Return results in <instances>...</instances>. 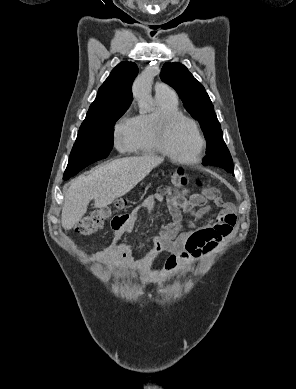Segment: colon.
Wrapping results in <instances>:
<instances>
[{
  "label": "colon",
  "instance_id": "5ec220e1",
  "mask_svg": "<svg viewBox=\"0 0 296 389\" xmlns=\"http://www.w3.org/2000/svg\"><path fill=\"white\" fill-rule=\"evenodd\" d=\"M172 183L176 187H185L189 183V175L185 169H178L172 173ZM200 187H204L202 181L198 182ZM125 207V201L119 200L114 207H104L93 210L84 216L77 224L76 231L84 236H89L102 228L107 222L122 223L125 215H113L115 210H121Z\"/></svg>",
  "mask_w": 296,
  "mask_h": 389
}]
</instances>
